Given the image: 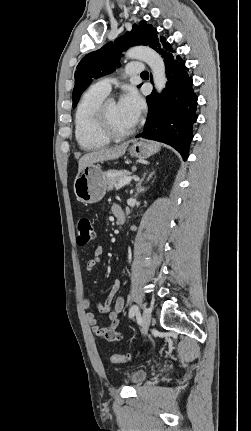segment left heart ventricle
I'll return each instance as SVG.
<instances>
[{
    "label": "left heart ventricle",
    "instance_id": "1",
    "mask_svg": "<svg viewBox=\"0 0 251 431\" xmlns=\"http://www.w3.org/2000/svg\"><path fill=\"white\" fill-rule=\"evenodd\" d=\"M108 115L112 126L117 130H127L134 125L129 116L119 107V104L115 101L108 105Z\"/></svg>",
    "mask_w": 251,
    "mask_h": 431
}]
</instances>
